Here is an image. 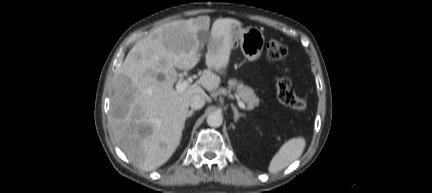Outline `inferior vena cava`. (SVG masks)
<instances>
[{
    "label": "inferior vena cava",
    "instance_id": "602c4592",
    "mask_svg": "<svg viewBox=\"0 0 432 193\" xmlns=\"http://www.w3.org/2000/svg\"><path fill=\"white\" fill-rule=\"evenodd\" d=\"M205 96L200 94H195L191 98L190 107L194 110H199L205 105Z\"/></svg>",
    "mask_w": 432,
    "mask_h": 193
}]
</instances>
